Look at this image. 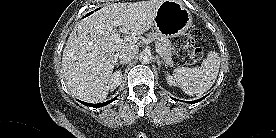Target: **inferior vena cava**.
<instances>
[{
	"label": "inferior vena cava",
	"instance_id": "602c4592",
	"mask_svg": "<svg viewBox=\"0 0 276 138\" xmlns=\"http://www.w3.org/2000/svg\"><path fill=\"white\" fill-rule=\"evenodd\" d=\"M138 51L137 46H133L127 49H123L118 53V57L123 60V61H131L132 59H134V57L136 56Z\"/></svg>",
	"mask_w": 276,
	"mask_h": 138
}]
</instances>
